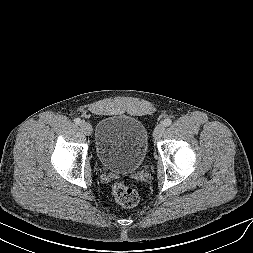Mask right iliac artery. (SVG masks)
Segmentation results:
<instances>
[{
    "instance_id": "82829eb1",
    "label": "right iliac artery",
    "mask_w": 253,
    "mask_h": 253,
    "mask_svg": "<svg viewBox=\"0 0 253 253\" xmlns=\"http://www.w3.org/2000/svg\"><path fill=\"white\" fill-rule=\"evenodd\" d=\"M81 119L80 118H75L74 119V123L76 124V125H80L81 124Z\"/></svg>"
}]
</instances>
